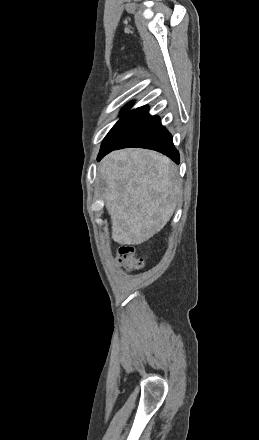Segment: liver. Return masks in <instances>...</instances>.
<instances>
[{"mask_svg":"<svg viewBox=\"0 0 259 440\" xmlns=\"http://www.w3.org/2000/svg\"><path fill=\"white\" fill-rule=\"evenodd\" d=\"M112 239L138 245L161 231L180 195L178 171L166 156L146 149L110 153L100 164Z\"/></svg>","mask_w":259,"mask_h":440,"instance_id":"obj_1","label":"liver"}]
</instances>
